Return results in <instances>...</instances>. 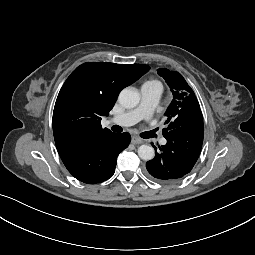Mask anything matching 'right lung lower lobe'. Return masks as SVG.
Masks as SVG:
<instances>
[{
    "label": "right lung lower lobe",
    "instance_id": "1",
    "mask_svg": "<svg viewBox=\"0 0 255 255\" xmlns=\"http://www.w3.org/2000/svg\"><path fill=\"white\" fill-rule=\"evenodd\" d=\"M131 141L129 133L94 138L60 154L67 170L79 181L96 184L115 172L117 157Z\"/></svg>",
    "mask_w": 255,
    "mask_h": 255
}]
</instances>
